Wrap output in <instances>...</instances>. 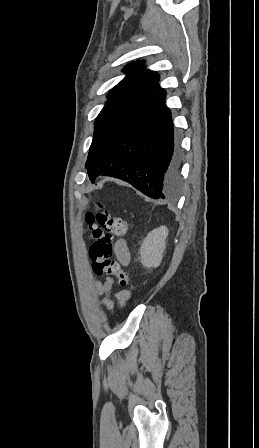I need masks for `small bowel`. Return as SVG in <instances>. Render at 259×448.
<instances>
[{
  "mask_svg": "<svg viewBox=\"0 0 259 448\" xmlns=\"http://www.w3.org/2000/svg\"><path fill=\"white\" fill-rule=\"evenodd\" d=\"M114 254L117 259V261L120 263L121 266H127L130 263L131 255L130 251L127 245V242L124 239L117 240L114 244ZM112 279L107 278V280L104 283H101L99 281H95L94 287L98 294L104 295L108 291H110L112 287ZM114 297L118 300V307H122L126 301L129 299L130 294L127 291H121L114 295ZM103 304L109 311H113L115 308V303L110 298H104Z\"/></svg>",
  "mask_w": 259,
  "mask_h": 448,
  "instance_id": "1",
  "label": "small bowel"
}]
</instances>
